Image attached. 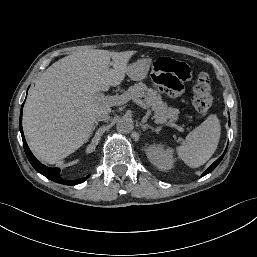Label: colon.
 Returning <instances> with one entry per match:
<instances>
[{"mask_svg":"<svg viewBox=\"0 0 257 257\" xmlns=\"http://www.w3.org/2000/svg\"><path fill=\"white\" fill-rule=\"evenodd\" d=\"M212 105V85L208 74L200 73L194 85L193 106L200 114L207 113Z\"/></svg>","mask_w":257,"mask_h":257,"instance_id":"1","label":"colon"}]
</instances>
